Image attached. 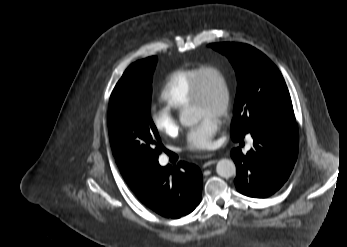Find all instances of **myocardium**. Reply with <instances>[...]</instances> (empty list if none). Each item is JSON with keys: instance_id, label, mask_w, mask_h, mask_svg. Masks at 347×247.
<instances>
[{"instance_id": "f54148a6", "label": "myocardium", "mask_w": 347, "mask_h": 247, "mask_svg": "<svg viewBox=\"0 0 347 247\" xmlns=\"http://www.w3.org/2000/svg\"><path fill=\"white\" fill-rule=\"evenodd\" d=\"M209 73L215 74L221 81V85L223 89V100L218 110L217 116L224 118L228 116L230 113L232 101H233V94H232L231 82L228 75L225 73V71L221 67L217 65L205 64L199 67L194 84L192 86L190 102L188 106L189 107L199 106L204 103L205 101L204 79L206 75Z\"/></svg>"}]
</instances>
